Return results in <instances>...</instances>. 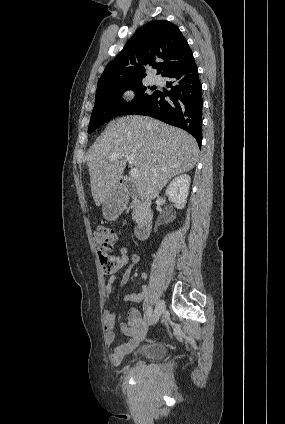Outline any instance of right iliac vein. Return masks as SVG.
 Returning <instances> with one entry per match:
<instances>
[{"instance_id":"1","label":"right iliac vein","mask_w":285,"mask_h":424,"mask_svg":"<svg viewBox=\"0 0 285 424\" xmlns=\"http://www.w3.org/2000/svg\"><path fill=\"white\" fill-rule=\"evenodd\" d=\"M165 308V303L163 300L158 301L156 308H155V314L152 318V323L156 324L159 320L160 315L162 314L163 310Z\"/></svg>"}]
</instances>
